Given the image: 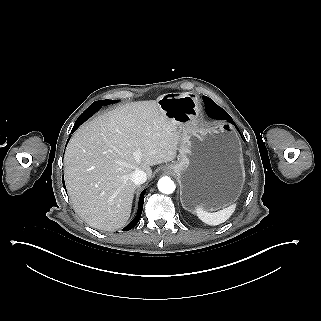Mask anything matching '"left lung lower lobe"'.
<instances>
[{
  "mask_svg": "<svg viewBox=\"0 0 321 321\" xmlns=\"http://www.w3.org/2000/svg\"><path fill=\"white\" fill-rule=\"evenodd\" d=\"M205 107H206V111L210 117H212L214 119H221V120L226 119V120L230 121L231 123H233L232 119L229 120V118H228L229 115L223 109H221L219 106H212L209 104H205Z\"/></svg>",
  "mask_w": 321,
  "mask_h": 321,
  "instance_id": "obj_1",
  "label": "left lung lower lobe"
}]
</instances>
